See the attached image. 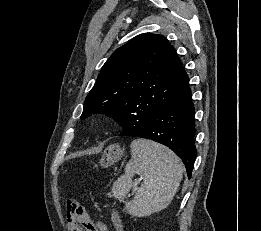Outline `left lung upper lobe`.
Here are the masks:
<instances>
[{
    "label": "left lung upper lobe",
    "instance_id": "obj_1",
    "mask_svg": "<svg viewBox=\"0 0 261 231\" xmlns=\"http://www.w3.org/2000/svg\"><path fill=\"white\" fill-rule=\"evenodd\" d=\"M187 85L188 76L168 40L142 34L118 48L103 65L81 118L106 113L123 130L142 129Z\"/></svg>",
    "mask_w": 261,
    "mask_h": 231
}]
</instances>
